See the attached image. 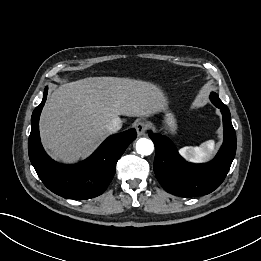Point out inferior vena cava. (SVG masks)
<instances>
[{"label":"inferior vena cava","mask_w":261,"mask_h":261,"mask_svg":"<svg viewBox=\"0 0 261 261\" xmlns=\"http://www.w3.org/2000/svg\"><path fill=\"white\" fill-rule=\"evenodd\" d=\"M106 128L115 133L122 128V120L119 117L114 118L107 124Z\"/></svg>","instance_id":"1"}]
</instances>
